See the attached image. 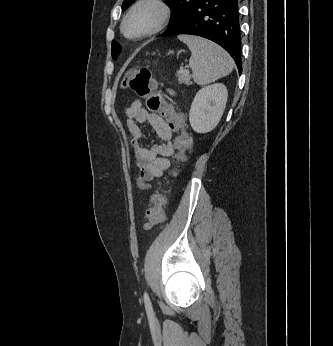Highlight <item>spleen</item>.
Listing matches in <instances>:
<instances>
[{"mask_svg": "<svg viewBox=\"0 0 333 346\" xmlns=\"http://www.w3.org/2000/svg\"><path fill=\"white\" fill-rule=\"evenodd\" d=\"M191 51L189 65L193 79L198 85H205L233 70V61L226 51L215 43L196 36H179Z\"/></svg>", "mask_w": 333, "mask_h": 346, "instance_id": "3e777b00", "label": "spleen"}]
</instances>
